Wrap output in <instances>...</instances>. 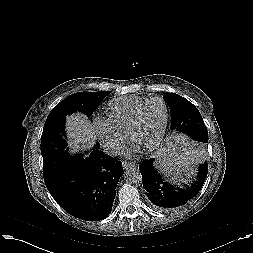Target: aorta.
<instances>
[{
  "label": "aorta",
  "instance_id": "obj_1",
  "mask_svg": "<svg viewBox=\"0 0 253 253\" xmlns=\"http://www.w3.org/2000/svg\"><path fill=\"white\" fill-rule=\"evenodd\" d=\"M142 175L138 168L132 167L125 171L124 179L129 184H137L141 181Z\"/></svg>",
  "mask_w": 253,
  "mask_h": 253
}]
</instances>
